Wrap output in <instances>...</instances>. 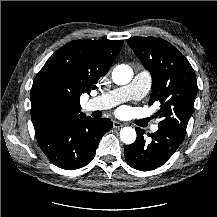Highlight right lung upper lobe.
<instances>
[{"label":"right lung upper lobe","mask_w":217,"mask_h":217,"mask_svg":"<svg viewBox=\"0 0 217 217\" xmlns=\"http://www.w3.org/2000/svg\"><path fill=\"white\" fill-rule=\"evenodd\" d=\"M123 45L122 40H74L57 50L45 63L33 81L31 104L46 85H54L69 104L62 122L84 115L80 96L96 89L97 81L104 76ZM34 129L46 127L31 114Z\"/></svg>","instance_id":"cb5924a9"}]
</instances>
